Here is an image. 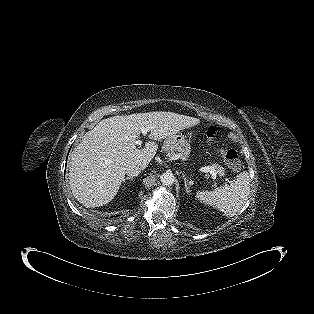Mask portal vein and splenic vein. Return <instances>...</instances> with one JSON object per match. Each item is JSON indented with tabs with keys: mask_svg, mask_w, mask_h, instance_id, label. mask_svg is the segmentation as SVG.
Here are the masks:
<instances>
[{
	"mask_svg": "<svg viewBox=\"0 0 314 314\" xmlns=\"http://www.w3.org/2000/svg\"><path fill=\"white\" fill-rule=\"evenodd\" d=\"M149 130H150V128L146 127V128H142L141 132L145 136L147 134V132H149ZM135 144L136 145H141L142 141L141 140H136ZM201 171H203V172H210L212 178L216 179V172H215V169L212 166L203 167Z\"/></svg>",
	"mask_w": 314,
	"mask_h": 314,
	"instance_id": "portal-vein-and-splenic-vein-1",
	"label": "portal vein and splenic vein"
}]
</instances>
